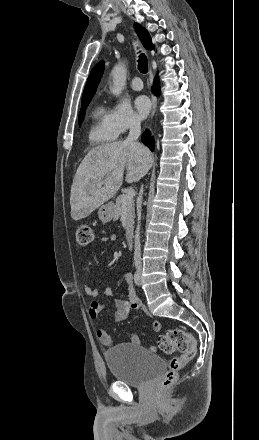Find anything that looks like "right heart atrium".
Masks as SVG:
<instances>
[{"label":"right heart atrium","instance_id":"d8ad5b80","mask_svg":"<svg viewBox=\"0 0 259 440\" xmlns=\"http://www.w3.org/2000/svg\"><path fill=\"white\" fill-rule=\"evenodd\" d=\"M109 123L116 136H119L139 126L140 120L128 102L118 101L109 111Z\"/></svg>","mask_w":259,"mask_h":440}]
</instances>
